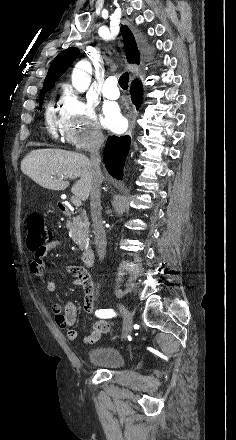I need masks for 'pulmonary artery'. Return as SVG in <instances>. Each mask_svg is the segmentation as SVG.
Wrapping results in <instances>:
<instances>
[{
  "label": "pulmonary artery",
  "mask_w": 236,
  "mask_h": 440,
  "mask_svg": "<svg viewBox=\"0 0 236 440\" xmlns=\"http://www.w3.org/2000/svg\"><path fill=\"white\" fill-rule=\"evenodd\" d=\"M103 95L108 99H117L119 97V89L117 87V79L115 77H108L103 85Z\"/></svg>",
  "instance_id": "obj_1"
}]
</instances>
